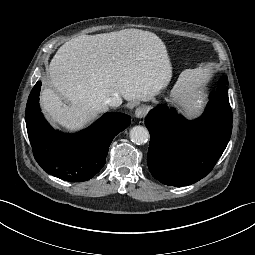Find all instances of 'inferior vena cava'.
Listing matches in <instances>:
<instances>
[{
    "label": "inferior vena cava",
    "mask_w": 255,
    "mask_h": 255,
    "mask_svg": "<svg viewBox=\"0 0 255 255\" xmlns=\"http://www.w3.org/2000/svg\"><path fill=\"white\" fill-rule=\"evenodd\" d=\"M105 103L110 107H119L122 104V99L119 95H114L108 98Z\"/></svg>",
    "instance_id": "1"
}]
</instances>
